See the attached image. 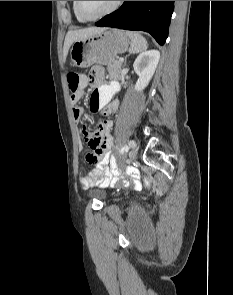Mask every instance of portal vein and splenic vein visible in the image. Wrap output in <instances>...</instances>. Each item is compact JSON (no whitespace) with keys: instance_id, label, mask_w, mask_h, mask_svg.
Wrapping results in <instances>:
<instances>
[{"instance_id":"obj_1","label":"portal vein and splenic vein","mask_w":233,"mask_h":295,"mask_svg":"<svg viewBox=\"0 0 233 295\" xmlns=\"http://www.w3.org/2000/svg\"><path fill=\"white\" fill-rule=\"evenodd\" d=\"M119 60H120V61H123V59H122V58H120Z\"/></svg>"}]
</instances>
